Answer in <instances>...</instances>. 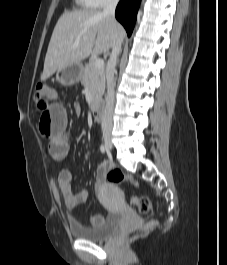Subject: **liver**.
<instances>
[{
	"instance_id": "1",
	"label": "liver",
	"mask_w": 227,
	"mask_h": 265,
	"mask_svg": "<svg viewBox=\"0 0 227 265\" xmlns=\"http://www.w3.org/2000/svg\"><path fill=\"white\" fill-rule=\"evenodd\" d=\"M124 28L100 11L65 12L53 30L44 61L41 80L58 69L78 64L91 54L107 53L116 38L123 40Z\"/></svg>"
}]
</instances>
